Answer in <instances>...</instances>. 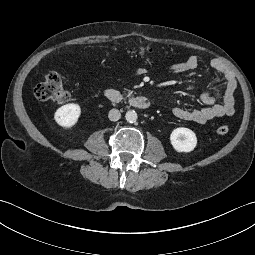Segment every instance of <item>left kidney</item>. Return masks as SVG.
Here are the masks:
<instances>
[{
    "mask_svg": "<svg viewBox=\"0 0 255 255\" xmlns=\"http://www.w3.org/2000/svg\"><path fill=\"white\" fill-rule=\"evenodd\" d=\"M170 141L177 152H191L197 145L196 134L184 127L174 129L170 135Z\"/></svg>",
    "mask_w": 255,
    "mask_h": 255,
    "instance_id": "1",
    "label": "left kidney"
}]
</instances>
